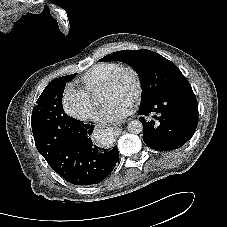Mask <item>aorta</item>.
Listing matches in <instances>:
<instances>
[{
	"mask_svg": "<svg viewBox=\"0 0 227 227\" xmlns=\"http://www.w3.org/2000/svg\"><path fill=\"white\" fill-rule=\"evenodd\" d=\"M127 129L132 134H139L143 131V125L139 120H133L128 123Z\"/></svg>",
	"mask_w": 227,
	"mask_h": 227,
	"instance_id": "aorta-1",
	"label": "aorta"
}]
</instances>
